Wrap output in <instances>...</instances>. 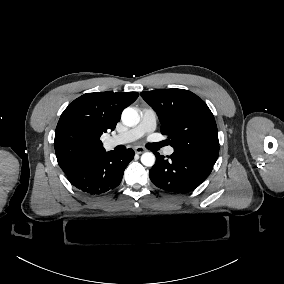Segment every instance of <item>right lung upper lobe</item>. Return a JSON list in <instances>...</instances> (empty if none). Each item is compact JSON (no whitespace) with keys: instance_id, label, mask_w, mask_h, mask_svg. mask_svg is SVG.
<instances>
[{"instance_id":"right-lung-upper-lobe-1","label":"right lung upper lobe","mask_w":284,"mask_h":284,"mask_svg":"<svg viewBox=\"0 0 284 284\" xmlns=\"http://www.w3.org/2000/svg\"><path fill=\"white\" fill-rule=\"evenodd\" d=\"M138 96L137 92L86 93L68 105L54 140L58 164L66 175L106 152L101 135L115 129L122 111Z\"/></svg>"}]
</instances>
